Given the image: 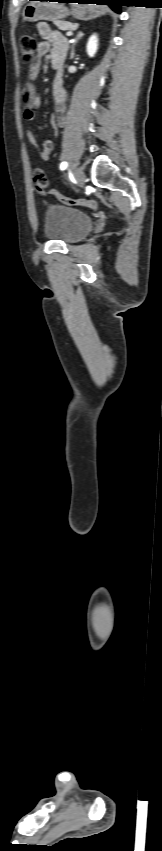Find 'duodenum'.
Returning <instances> with one entry per match:
<instances>
[{
  "instance_id": "410a0bca",
  "label": "duodenum",
  "mask_w": 162,
  "mask_h": 851,
  "mask_svg": "<svg viewBox=\"0 0 162 851\" xmlns=\"http://www.w3.org/2000/svg\"><path fill=\"white\" fill-rule=\"evenodd\" d=\"M53 67H54V68H56V69H59V68H60V64H59L58 62H56V61H55V62H53Z\"/></svg>"
}]
</instances>
